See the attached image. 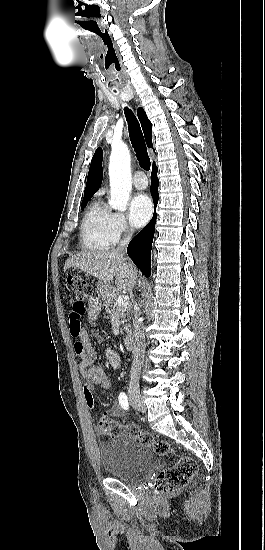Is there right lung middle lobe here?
I'll return each instance as SVG.
<instances>
[{
    "label": "right lung middle lobe",
    "mask_w": 265,
    "mask_h": 550,
    "mask_svg": "<svg viewBox=\"0 0 265 550\" xmlns=\"http://www.w3.org/2000/svg\"><path fill=\"white\" fill-rule=\"evenodd\" d=\"M89 200H90V198H88V199H83L82 204H81L82 210L85 208V206H86V204H87V202H88Z\"/></svg>",
    "instance_id": "1"
}]
</instances>
